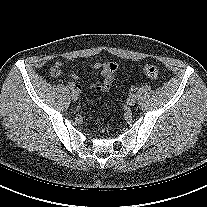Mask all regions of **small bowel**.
<instances>
[{
  "instance_id": "small-bowel-1",
  "label": "small bowel",
  "mask_w": 207,
  "mask_h": 207,
  "mask_svg": "<svg viewBox=\"0 0 207 207\" xmlns=\"http://www.w3.org/2000/svg\"><path fill=\"white\" fill-rule=\"evenodd\" d=\"M62 67L63 64L61 62H56L51 70L50 73L53 77H59L62 74ZM94 70L100 71V81H96L95 83L89 86V89L95 92H107L111 89L115 76L120 68L119 64L113 61L110 62H95L91 65ZM71 78L75 81L79 79L78 74L72 73ZM69 85H72L75 89L81 90L82 87L80 84L71 82Z\"/></svg>"
}]
</instances>
